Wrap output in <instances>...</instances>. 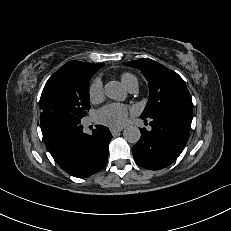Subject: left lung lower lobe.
Returning a JSON list of instances; mask_svg holds the SVG:
<instances>
[{"label":"left lung lower lobe","mask_w":231,"mask_h":231,"mask_svg":"<svg viewBox=\"0 0 231 231\" xmlns=\"http://www.w3.org/2000/svg\"><path fill=\"white\" fill-rule=\"evenodd\" d=\"M191 118V110L180 108L164 109L149 117L152 130L140 129L141 138L132 147L135 162L149 170L172 164L188 141Z\"/></svg>","instance_id":"left-lung-lower-lobe-1"}]
</instances>
